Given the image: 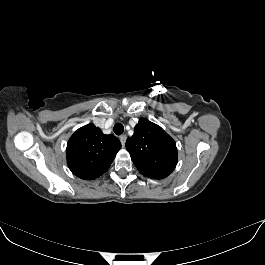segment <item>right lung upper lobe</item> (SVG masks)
Segmentation results:
<instances>
[{
	"label": "right lung upper lobe",
	"mask_w": 265,
	"mask_h": 265,
	"mask_svg": "<svg viewBox=\"0 0 265 265\" xmlns=\"http://www.w3.org/2000/svg\"><path fill=\"white\" fill-rule=\"evenodd\" d=\"M121 143L112 134L105 135L94 124L79 128L67 143L66 158L71 172L85 180H93L105 173Z\"/></svg>",
	"instance_id": "1"
}]
</instances>
